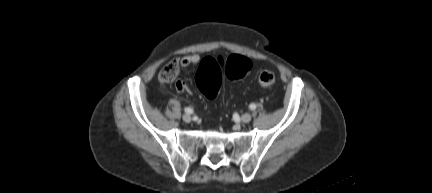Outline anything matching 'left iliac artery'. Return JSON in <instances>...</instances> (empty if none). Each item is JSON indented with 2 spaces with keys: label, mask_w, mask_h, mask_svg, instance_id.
Masks as SVG:
<instances>
[{
  "label": "left iliac artery",
  "mask_w": 432,
  "mask_h": 193,
  "mask_svg": "<svg viewBox=\"0 0 432 193\" xmlns=\"http://www.w3.org/2000/svg\"><path fill=\"white\" fill-rule=\"evenodd\" d=\"M249 108H250L251 110H255V109H256V105H255L254 103H251V104L249 105Z\"/></svg>",
  "instance_id": "44dca946"
}]
</instances>
